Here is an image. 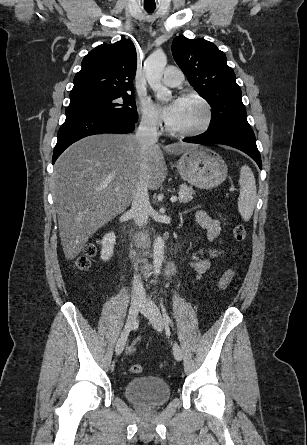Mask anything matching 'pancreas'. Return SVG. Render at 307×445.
<instances>
[{
  "label": "pancreas",
  "mask_w": 307,
  "mask_h": 445,
  "mask_svg": "<svg viewBox=\"0 0 307 445\" xmlns=\"http://www.w3.org/2000/svg\"><path fill=\"white\" fill-rule=\"evenodd\" d=\"M179 190H181L183 196L179 198V202H189L192 200L195 190H193L192 186H187V184H179Z\"/></svg>",
  "instance_id": "cf45deb5"
}]
</instances>
